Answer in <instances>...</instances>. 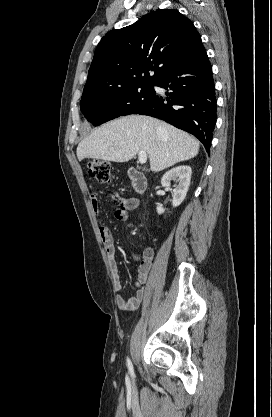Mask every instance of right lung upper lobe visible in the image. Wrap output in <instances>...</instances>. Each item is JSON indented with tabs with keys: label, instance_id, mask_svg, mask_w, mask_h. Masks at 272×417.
Wrapping results in <instances>:
<instances>
[{
	"label": "right lung upper lobe",
	"instance_id": "1",
	"mask_svg": "<svg viewBox=\"0 0 272 417\" xmlns=\"http://www.w3.org/2000/svg\"><path fill=\"white\" fill-rule=\"evenodd\" d=\"M200 45L195 26L177 10L151 12L101 39L83 94H106L153 83L187 60Z\"/></svg>",
	"mask_w": 272,
	"mask_h": 417
}]
</instances>
